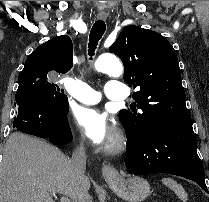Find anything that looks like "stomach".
<instances>
[{"label":"stomach","instance_id":"1","mask_svg":"<svg viewBox=\"0 0 209 202\" xmlns=\"http://www.w3.org/2000/svg\"><path fill=\"white\" fill-rule=\"evenodd\" d=\"M106 181L116 195L128 202H141L150 194L149 183L138 176L107 178Z\"/></svg>","mask_w":209,"mask_h":202}]
</instances>
